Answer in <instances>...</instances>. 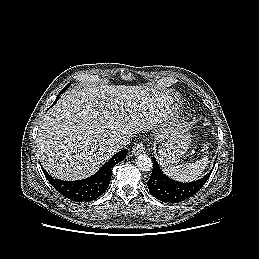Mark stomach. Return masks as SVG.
I'll return each instance as SVG.
<instances>
[{"instance_id":"stomach-1","label":"stomach","mask_w":259,"mask_h":259,"mask_svg":"<svg viewBox=\"0 0 259 259\" xmlns=\"http://www.w3.org/2000/svg\"><path fill=\"white\" fill-rule=\"evenodd\" d=\"M184 131H174L167 135V141L159 147L158 159L162 166L177 164L186 153L191 138Z\"/></svg>"}]
</instances>
